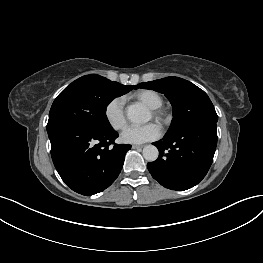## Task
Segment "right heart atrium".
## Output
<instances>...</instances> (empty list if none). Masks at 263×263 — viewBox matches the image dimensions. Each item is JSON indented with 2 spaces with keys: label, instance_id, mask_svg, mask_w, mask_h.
<instances>
[{
  "label": "right heart atrium",
  "instance_id": "right-heart-atrium-1",
  "mask_svg": "<svg viewBox=\"0 0 263 263\" xmlns=\"http://www.w3.org/2000/svg\"><path fill=\"white\" fill-rule=\"evenodd\" d=\"M104 116L114 130H122L127 123L125 98L123 96L112 98L105 106Z\"/></svg>",
  "mask_w": 263,
  "mask_h": 263
}]
</instances>
